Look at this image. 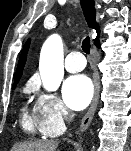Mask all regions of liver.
Segmentation results:
<instances>
[{
	"label": "liver",
	"instance_id": "6515ba94",
	"mask_svg": "<svg viewBox=\"0 0 131 151\" xmlns=\"http://www.w3.org/2000/svg\"><path fill=\"white\" fill-rule=\"evenodd\" d=\"M56 141H34L16 145L12 151H56Z\"/></svg>",
	"mask_w": 131,
	"mask_h": 151
}]
</instances>
